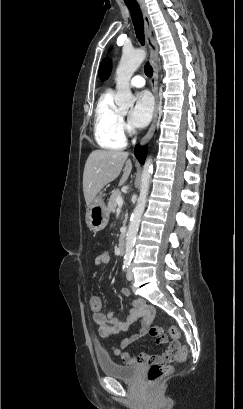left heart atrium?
<instances>
[{
  "label": "left heart atrium",
  "instance_id": "39dd6f15",
  "mask_svg": "<svg viewBox=\"0 0 243 409\" xmlns=\"http://www.w3.org/2000/svg\"><path fill=\"white\" fill-rule=\"evenodd\" d=\"M154 104L148 91H141L136 96L135 105L129 113V121L132 126L143 128L151 120Z\"/></svg>",
  "mask_w": 243,
  "mask_h": 409
}]
</instances>
